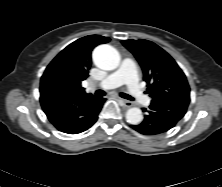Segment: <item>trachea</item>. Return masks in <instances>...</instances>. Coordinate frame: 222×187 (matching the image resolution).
<instances>
[{"mask_svg": "<svg viewBox=\"0 0 222 187\" xmlns=\"http://www.w3.org/2000/svg\"><path fill=\"white\" fill-rule=\"evenodd\" d=\"M95 94H96L97 96H104V95L106 94V92L103 91V90H97ZM120 96H121L122 98H125V99H128V100H131V101H134V98L131 97V96L128 95V94L120 93Z\"/></svg>", "mask_w": 222, "mask_h": 187, "instance_id": "3493384b", "label": "trachea"}]
</instances>
